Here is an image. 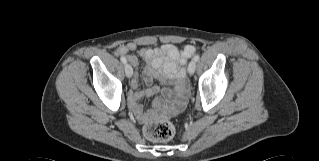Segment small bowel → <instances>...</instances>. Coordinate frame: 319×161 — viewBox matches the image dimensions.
<instances>
[{"label":"small bowel","instance_id":"obj_1","mask_svg":"<svg viewBox=\"0 0 319 161\" xmlns=\"http://www.w3.org/2000/svg\"><path fill=\"white\" fill-rule=\"evenodd\" d=\"M136 50V44L129 42L120 45L116 53L133 66H138V60L128 53ZM196 52V46L193 44L185 45L181 50L172 44H164L158 48L145 47L139 51L140 56L147 62L143 69L144 81L147 88L143 91H136L139 80L135 75L131 82L132 91L128 95V102L135 116L141 121L155 120L161 117L160 107L167 103L168 107L174 112L179 113L185 106L188 91L186 87V72L184 65L186 60ZM170 81L174 84L175 96L167 94L165 100L157 98L155 108L144 110L138 103L141 97H150L158 93L159 87L154 84L155 80Z\"/></svg>","mask_w":319,"mask_h":161}]
</instances>
